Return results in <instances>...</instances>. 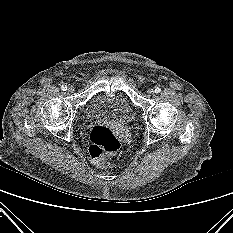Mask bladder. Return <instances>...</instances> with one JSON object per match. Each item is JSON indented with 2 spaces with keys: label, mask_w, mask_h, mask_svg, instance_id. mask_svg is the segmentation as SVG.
Segmentation results:
<instances>
[{
  "label": "bladder",
  "mask_w": 233,
  "mask_h": 233,
  "mask_svg": "<svg viewBox=\"0 0 233 233\" xmlns=\"http://www.w3.org/2000/svg\"><path fill=\"white\" fill-rule=\"evenodd\" d=\"M134 114L132 103L121 93L97 94L84 108V117L88 120L108 119L127 123L133 119Z\"/></svg>",
  "instance_id": "31cf9c89"
}]
</instances>
